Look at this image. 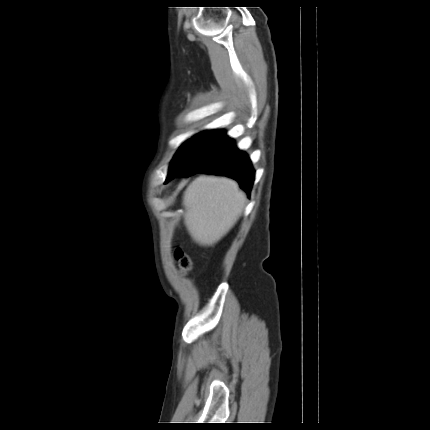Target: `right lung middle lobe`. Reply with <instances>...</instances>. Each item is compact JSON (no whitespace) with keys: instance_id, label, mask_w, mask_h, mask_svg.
I'll return each mask as SVG.
<instances>
[{"instance_id":"1","label":"right lung middle lobe","mask_w":430,"mask_h":430,"mask_svg":"<svg viewBox=\"0 0 430 430\" xmlns=\"http://www.w3.org/2000/svg\"><path fill=\"white\" fill-rule=\"evenodd\" d=\"M224 136L225 133L221 130L205 131L189 139L174 156L170 165L169 175L194 161L202 153L223 139Z\"/></svg>"}]
</instances>
